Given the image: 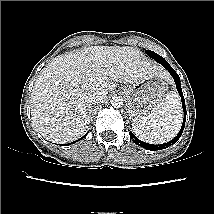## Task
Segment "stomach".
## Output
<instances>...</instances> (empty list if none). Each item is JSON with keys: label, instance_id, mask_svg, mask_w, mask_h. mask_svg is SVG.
<instances>
[{"label": "stomach", "instance_id": "obj_1", "mask_svg": "<svg viewBox=\"0 0 214 214\" xmlns=\"http://www.w3.org/2000/svg\"><path fill=\"white\" fill-rule=\"evenodd\" d=\"M167 91L165 78L158 75L127 84L123 92L127 97L129 115L137 117L149 114L162 102Z\"/></svg>", "mask_w": 214, "mask_h": 214}]
</instances>
